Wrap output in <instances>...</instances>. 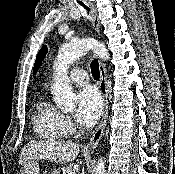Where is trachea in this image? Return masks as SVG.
<instances>
[{"label":"trachea","mask_w":175,"mask_h":174,"mask_svg":"<svg viewBox=\"0 0 175 174\" xmlns=\"http://www.w3.org/2000/svg\"><path fill=\"white\" fill-rule=\"evenodd\" d=\"M81 6H83L84 8H86V6L84 5V3L82 2H78ZM91 73L92 76L94 77V79L98 80L100 77V71H99V64L97 59H94V61L91 63Z\"/></svg>","instance_id":"1"}]
</instances>
